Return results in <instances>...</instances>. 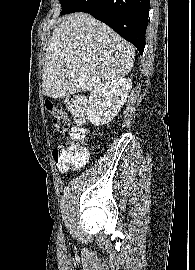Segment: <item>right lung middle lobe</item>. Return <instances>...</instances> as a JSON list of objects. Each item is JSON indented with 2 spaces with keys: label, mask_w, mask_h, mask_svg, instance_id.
<instances>
[{
  "label": "right lung middle lobe",
  "mask_w": 195,
  "mask_h": 270,
  "mask_svg": "<svg viewBox=\"0 0 195 270\" xmlns=\"http://www.w3.org/2000/svg\"><path fill=\"white\" fill-rule=\"evenodd\" d=\"M76 1L77 0H60V4H61V7H62L61 15L69 14L73 4Z\"/></svg>",
  "instance_id": "obj_1"
}]
</instances>
